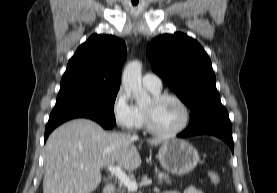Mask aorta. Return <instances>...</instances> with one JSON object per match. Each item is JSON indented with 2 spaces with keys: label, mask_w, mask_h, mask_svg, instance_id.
Returning a JSON list of instances; mask_svg holds the SVG:
<instances>
[{
  "label": "aorta",
  "mask_w": 277,
  "mask_h": 193,
  "mask_svg": "<svg viewBox=\"0 0 277 193\" xmlns=\"http://www.w3.org/2000/svg\"><path fill=\"white\" fill-rule=\"evenodd\" d=\"M142 63L140 61L129 62L122 74V86L132 100L138 104L147 102L149 94L143 89L141 83Z\"/></svg>",
  "instance_id": "762f6f07"
}]
</instances>
